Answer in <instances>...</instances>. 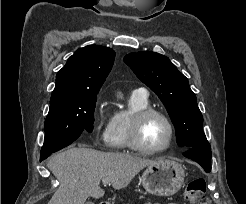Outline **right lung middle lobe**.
Returning a JSON list of instances; mask_svg holds the SVG:
<instances>
[{"label":"right lung middle lobe","instance_id":"right-lung-middle-lobe-1","mask_svg":"<svg viewBox=\"0 0 246 204\" xmlns=\"http://www.w3.org/2000/svg\"><path fill=\"white\" fill-rule=\"evenodd\" d=\"M97 94L51 101L40 157H48L93 130Z\"/></svg>","mask_w":246,"mask_h":204}]
</instances>
